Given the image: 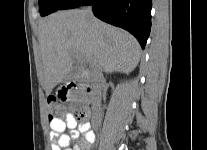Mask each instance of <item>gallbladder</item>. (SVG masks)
<instances>
[{"instance_id": "obj_1", "label": "gallbladder", "mask_w": 207, "mask_h": 150, "mask_svg": "<svg viewBox=\"0 0 207 150\" xmlns=\"http://www.w3.org/2000/svg\"><path fill=\"white\" fill-rule=\"evenodd\" d=\"M74 73L73 72H70L67 76H66V80H69L73 77Z\"/></svg>"}]
</instances>
